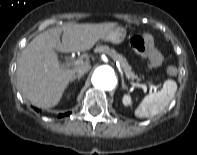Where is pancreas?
I'll use <instances>...</instances> for the list:
<instances>
[{"label":"pancreas","mask_w":197,"mask_h":155,"mask_svg":"<svg viewBox=\"0 0 197 155\" xmlns=\"http://www.w3.org/2000/svg\"><path fill=\"white\" fill-rule=\"evenodd\" d=\"M96 52H103L109 55L114 61H119L126 77L128 79H138L137 75L133 72L131 66L121 54H118L114 49L109 48L108 46H97L95 49Z\"/></svg>","instance_id":"cf45deb5"}]
</instances>
